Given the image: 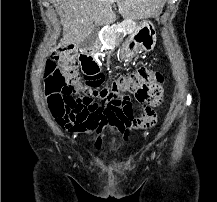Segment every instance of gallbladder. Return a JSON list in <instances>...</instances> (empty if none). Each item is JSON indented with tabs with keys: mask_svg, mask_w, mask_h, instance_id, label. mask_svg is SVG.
I'll list each match as a JSON object with an SVG mask.
<instances>
[{
	"mask_svg": "<svg viewBox=\"0 0 217 202\" xmlns=\"http://www.w3.org/2000/svg\"><path fill=\"white\" fill-rule=\"evenodd\" d=\"M99 36H98V32H96V30H93L92 34H89L88 38H86V40H82L81 42V46L82 47H90V46H94L95 42H97Z\"/></svg>",
	"mask_w": 217,
	"mask_h": 202,
	"instance_id": "obj_1",
	"label": "gallbladder"
}]
</instances>
